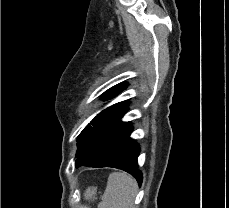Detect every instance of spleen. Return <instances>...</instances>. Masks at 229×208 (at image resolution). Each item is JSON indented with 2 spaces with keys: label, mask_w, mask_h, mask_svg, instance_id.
<instances>
[{
  "label": "spleen",
  "mask_w": 229,
  "mask_h": 208,
  "mask_svg": "<svg viewBox=\"0 0 229 208\" xmlns=\"http://www.w3.org/2000/svg\"><path fill=\"white\" fill-rule=\"evenodd\" d=\"M137 182L124 172H112L98 208H133Z\"/></svg>",
  "instance_id": "3e777b00"
}]
</instances>
